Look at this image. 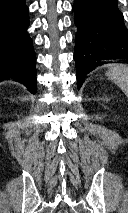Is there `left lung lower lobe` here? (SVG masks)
<instances>
[{
	"label": "left lung lower lobe",
	"instance_id": "left-lung-lower-lobe-1",
	"mask_svg": "<svg viewBox=\"0 0 128 213\" xmlns=\"http://www.w3.org/2000/svg\"><path fill=\"white\" fill-rule=\"evenodd\" d=\"M77 26L74 60L78 89L85 75L102 65L101 60L128 59V30L117 0H75Z\"/></svg>",
	"mask_w": 128,
	"mask_h": 213
}]
</instances>
